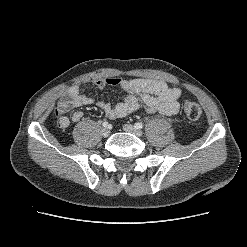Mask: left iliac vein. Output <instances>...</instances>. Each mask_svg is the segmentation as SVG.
Masks as SVG:
<instances>
[{
    "mask_svg": "<svg viewBox=\"0 0 247 247\" xmlns=\"http://www.w3.org/2000/svg\"><path fill=\"white\" fill-rule=\"evenodd\" d=\"M123 130L125 132H128V133H132L138 137H142L143 136V132L139 129H136L134 126H132L131 124H125L123 126Z\"/></svg>",
    "mask_w": 247,
    "mask_h": 247,
    "instance_id": "obj_1",
    "label": "left iliac vein"
}]
</instances>
